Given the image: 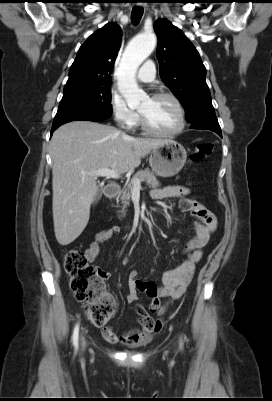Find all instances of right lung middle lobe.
I'll return each instance as SVG.
<instances>
[{"label":"right lung middle lobe","mask_w":272,"mask_h":401,"mask_svg":"<svg viewBox=\"0 0 272 401\" xmlns=\"http://www.w3.org/2000/svg\"><path fill=\"white\" fill-rule=\"evenodd\" d=\"M111 83H103L63 92L53 124L91 116L107 119L111 116Z\"/></svg>","instance_id":"1"}]
</instances>
